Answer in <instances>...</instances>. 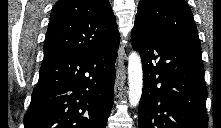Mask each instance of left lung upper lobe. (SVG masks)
<instances>
[{"label": "left lung upper lobe", "instance_id": "left-lung-upper-lobe-1", "mask_svg": "<svg viewBox=\"0 0 221 128\" xmlns=\"http://www.w3.org/2000/svg\"><path fill=\"white\" fill-rule=\"evenodd\" d=\"M133 30L171 39L201 53L192 12L184 0H140Z\"/></svg>", "mask_w": 221, "mask_h": 128}]
</instances>
